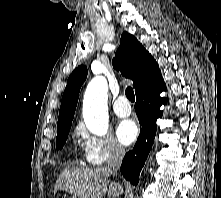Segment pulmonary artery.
Segmentation results:
<instances>
[{"mask_svg":"<svg viewBox=\"0 0 221 198\" xmlns=\"http://www.w3.org/2000/svg\"><path fill=\"white\" fill-rule=\"evenodd\" d=\"M113 110L118 117L129 116L131 114V106L128 99L124 95L119 96L114 102Z\"/></svg>","mask_w":221,"mask_h":198,"instance_id":"pulmonary-artery-1","label":"pulmonary artery"}]
</instances>
